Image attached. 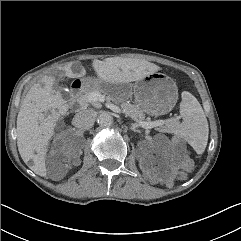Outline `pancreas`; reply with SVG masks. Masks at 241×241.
<instances>
[{
    "label": "pancreas",
    "instance_id": "pancreas-1",
    "mask_svg": "<svg viewBox=\"0 0 241 241\" xmlns=\"http://www.w3.org/2000/svg\"><path fill=\"white\" fill-rule=\"evenodd\" d=\"M100 93L102 94V90L99 87H92L90 89H87L82 93L76 100L78 104L80 105L81 108H86L89 104H93L95 102H92L89 99L90 94L92 93ZM104 96V95H103ZM122 112L126 115L131 117L132 119H136L138 121H143L144 120V114L133 104L129 103L128 101L121 102L119 104ZM178 126V121L175 118H171L166 120L165 123V130H173Z\"/></svg>",
    "mask_w": 241,
    "mask_h": 241
}]
</instances>
